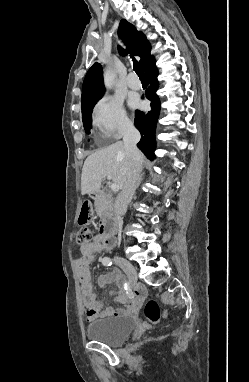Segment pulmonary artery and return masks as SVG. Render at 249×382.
<instances>
[{"mask_svg":"<svg viewBox=\"0 0 249 382\" xmlns=\"http://www.w3.org/2000/svg\"><path fill=\"white\" fill-rule=\"evenodd\" d=\"M128 86L133 90L141 88V81L137 78L135 73H130L127 78Z\"/></svg>","mask_w":249,"mask_h":382,"instance_id":"1","label":"pulmonary artery"}]
</instances>
